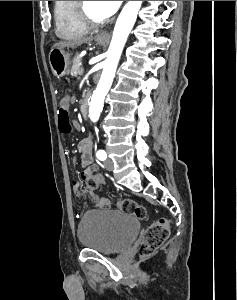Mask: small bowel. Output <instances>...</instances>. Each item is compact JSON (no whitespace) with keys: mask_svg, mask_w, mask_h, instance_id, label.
<instances>
[{"mask_svg":"<svg viewBox=\"0 0 237 300\" xmlns=\"http://www.w3.org/2000/svg\"><path fill=\"white\" fill-rule=\"evenodd\" d=\"M64 105L68 107L69 98L65 97L61 100L60 106ZM92 147H93V136L89 135L86 138H83L77 145V152L80 154L81 164L84 167H88L92 169L93 157H92ZM72 189L75 194H80V185L78 182H73ZM97 206L101 208H108L110 206V202L107 199H100L97 201Z\"/></svg>","mask_w":237,"mask_h":300,"instance_id":"1","label":"small bowel"}]
</instances>
